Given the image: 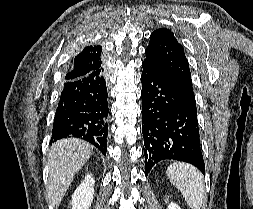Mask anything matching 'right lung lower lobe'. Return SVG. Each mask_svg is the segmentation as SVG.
Masks as SVG:
<instances>
[{"label":"right lung lower lobe","mask_w":253,"mask_h":209,"mask_svg":"<svg viewBox=\"0 0 253 209\" xmlns=\"http://www.w3.org/2000/svg\"><path fill=\"white\" fill-rule=\"evenodd\" d=\"M107 116V88L103 69L66 81L54 117L51 143L63 138H80L106 155Z\"/></svg>","instance_id":"obj_1"}]
</instances>
